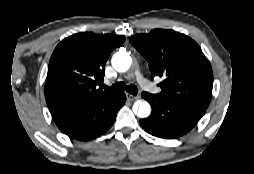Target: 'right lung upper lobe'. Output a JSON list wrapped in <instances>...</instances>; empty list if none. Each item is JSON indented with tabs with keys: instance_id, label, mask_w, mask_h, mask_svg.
Masks as SVG:
<instances>
[{
	"instance_id": "1",
	"label": "right lung upper lobe",
	"mask_w": 254,
	"mask_h": 174,
	"mask_svg": "<svg viewBox=\"0 0 254 174\" xmlns=\"http://www.w3.org/2000/svg\"><path fill=\"white\" fill-rule=\"evenodd\" d=\"M125 40L119 35L78 33L62 40L48 66L45 96L50 112L78 99L113 97L100 81L110 53Z\"/></svg>"
}]
</instances>
